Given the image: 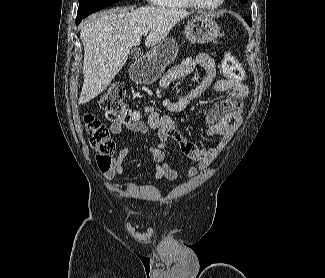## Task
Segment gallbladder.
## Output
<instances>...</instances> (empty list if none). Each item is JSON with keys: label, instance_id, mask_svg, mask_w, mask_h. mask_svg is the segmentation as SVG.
I'll return each mask as SVG.
<instances>
[{"label": "gallbladder", "instance_id": "gallbladder-1", "mask_svg": "<svg viewBox=\"0 0 325 278\" xmlns=\"http://www.w3.org/2000/svg\"><path fill=\"white\" fill-rule=\"evenodd\" d=\"M132 60H137L141 56V51L139 48H133L130 52Z\"/></svg>", "mask_w": 325, "mask_h": 278}]
</instances>
